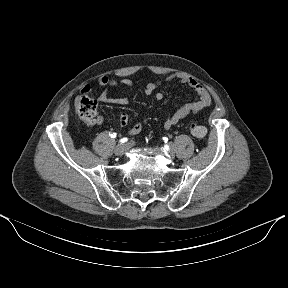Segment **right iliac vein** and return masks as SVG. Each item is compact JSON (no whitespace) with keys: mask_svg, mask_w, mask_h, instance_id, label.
Listing matches in <instances>:
<instances>
[{"mask_svg":"<svg viewBox=\"0 0 288 288\" xmlns=\"http://www.w3.org/2000/svg\"><path fill=\"white\" fill-rule=\"evenodd\" d=\"M126 151V146L125 145H118L114 149V153L116 155H122Z\"/></svg>","mask_w":288,"mask_h":288,"instance_id":"right-iliac-vein-1","label":"right iliac vein"}]
</instances>
